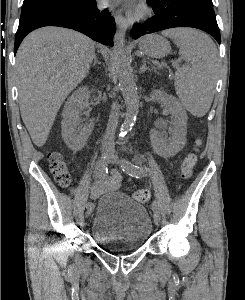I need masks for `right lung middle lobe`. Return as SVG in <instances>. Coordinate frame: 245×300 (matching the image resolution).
Instances as JSON below:
<instances>
[{"label":"right lung middle lobe","instance_id":"1","mask_svg":"<svg viewBox=\"0 0 245 300\" xmlns=\"http://www.w3.org/2000/svg\"><path fill=\"white\" fill-rule=\"evenodd\" d=\"M91 0H24L20 22L64 9L82 8Z\"/></svg>","mask_w":245,"mask_h":300}]
</instances>
